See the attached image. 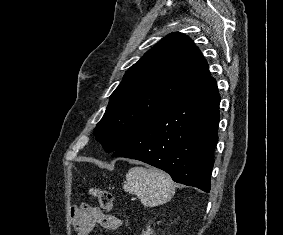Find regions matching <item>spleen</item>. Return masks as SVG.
Here are the masks:
<instances>
[{"label": "spleen", "instance_id": "1", "mask_svg": "<svg viewBox=\"0 0 283 235\" xmlns=\"http://www.w3.org/2000/svg\"><path fill=\"white\" fill-rule=\"evenodd\" d=\"M123 188L126 192L135 194L147 207L165 204L175 193V183L168 174L140 166L130 168Z\"/></svg>", "mask_w": 283, "mask_h": 235}]
</instances>
